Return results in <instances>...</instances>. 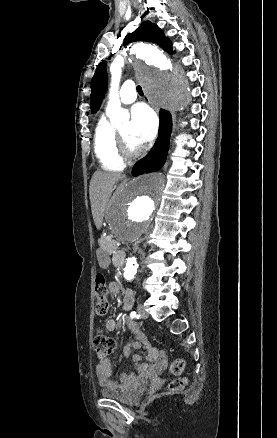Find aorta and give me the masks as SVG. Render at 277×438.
Instances as JSON below:
<instances>
[{
	"label": "aorta",
	"mask_w": 277,
	"mask_h": 438,
	"mask_svg": "<svg viewBox=\"0 0 277 438\" xmlns=\"http://www.w3.org/2000/svg\"><path fill=\"white\" fill-rule=\"evenodd\" d=\"M129 51L137 58L136 73L147 95L168 110L182 108L189 95V82L184 73L156 47L136 44ZM123 65V57L117 56L110 66L111 87L106 113L114 126L129 120V113L121 107L118 96ZM163 187L161 174H148L133 179L117 193L108 218L110 228L119 241L135 242L151 229ZM137 268V259L128 257L124 265L125 279L132 280Z\"/></svg>",
	"instance_id": "1"
}]
</instances>
